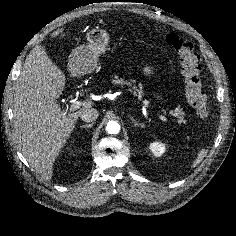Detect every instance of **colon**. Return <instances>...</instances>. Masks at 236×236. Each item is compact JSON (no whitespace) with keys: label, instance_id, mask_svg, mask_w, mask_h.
I'll return each mask as SVG.
<instances>
[{"label":"colon","instance_id":"1","mask_svg":"<svg viewBox=\"0 0 236 236\" xmlns=\"http://www.w3.org/2000/svg\"><path fill=\"white\" fill-rule=\"evenodd\" d=\"M166 42L179 57L181 73L184 77L185 93L189 104L199 117H207L210 109L207 98L202 91L199 78V57L193 43L177 34L167 35Z\"/></svg>","mask_w":236,"mask_h":236}]
</instances>
